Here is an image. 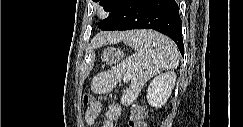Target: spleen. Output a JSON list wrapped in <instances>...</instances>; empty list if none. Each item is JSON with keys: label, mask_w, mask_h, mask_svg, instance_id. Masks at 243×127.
Masks as SVG:
<instances>
[{"label": "spleen", "mask_w": 243, "mask_h": 127, "mask_svg": "<svg viewBox=\"0 0 243 127\" xmlns=\"http://www.w3.org/2000/svg\"><path fill=\"white\" fill-rule=\"evenodd\" d=\"M124 43L132 47L135 54L113 66L111 70L96 75L92 81V90L94 93H106L122 79L131 80L121 98L122 104L129 105L150 78L163 70L178 66L179 53L172 40L150 30L133 32L124 39Z\"/></svg>", "instance_id": "obj_1"}]
</instances>
